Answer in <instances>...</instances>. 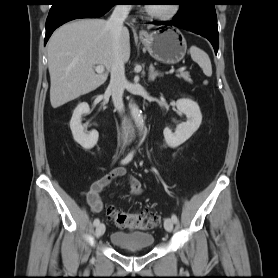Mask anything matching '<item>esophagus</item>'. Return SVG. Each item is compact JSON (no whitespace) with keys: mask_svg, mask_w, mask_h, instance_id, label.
I'll return each instance as SVG.
<instances>
[{"mask_svg":"<svg viewBox=\"0 0 278 278\" xmlns=\"http://www.w3.org/2000/svg\"><path fill=\"white\" fill-rule=\"evenodd\" d=\"M147 35H148V33H147L146 30L141 29V30L139 31V36H140V37H144V36H147Z\"/></svg>","mask_w":278,"mask_h":278,"instance_id":"esophagus-1","label":"esophagus"}]
</instances>
